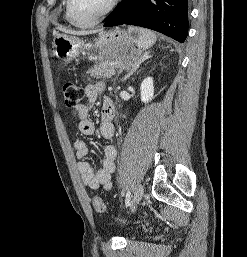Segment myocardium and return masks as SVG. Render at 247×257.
Segmentation results:
<instances>
[{
  "mask_svg": "<svg viewBox=\"0 0 247 257\" xmlns=\"http://www.w3.org/2000/svg\"><path fill=\"white\" fill-rule=\"evenodd\" d=\"M119 2L120 0H111L107 8L101 14H99L93 20L87 21V22H81L75 17L73 13V6H72L73 0H66V9H67L69 19L74 25L81 28H87V27L96 25L97 23L102 21L105 17H107L116 8Z\"/></svg>",
  "mask_w": 247,
  "mask_h": 257,
  "instance_id": "obj_1",
  "label": "myocardium"
}]
</instances>
